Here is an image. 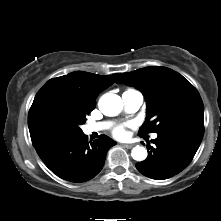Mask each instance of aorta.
Here are the masks:
<instances>
[{
    "instance_id": "obj_1",
    "label": "aorta",
    "mask_w": 221,
    "mask_h": 221,
    "mask_svg": "<svg viewBox=\"0 0 221 221\" xmlns=\"http://www.w3.org/2000/svg\"><path fill=\"white\" fill-rule=\"evenodd\" d=\"M98 105L104 115L116 116L123 108V101L116 94L106 93L100 98ZM131 156L136 161H143L147 157V150L142 146H136L132 149Z\"/></svg>"
}]
</instances>
